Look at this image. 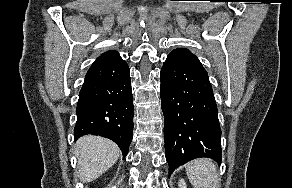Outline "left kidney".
I'll return each instance as SVG.
<instances>
[{
	"instance_id": "1",
	"label": "left kidney",
	"mask_w": 292,
	"mask_h": 188,
	"mask_svg": "<svg viewBox=\"0 0 292 188\" xmlns=\"http://www.w3.org/2000/svg\"><path fill=\"white\" fill-rule=\"evenodd\" d=\"M179 188H187L186 182L184 179H180L178 182Z\"/></svg>"
}]
</instances>
